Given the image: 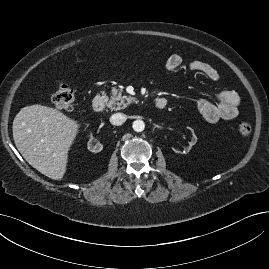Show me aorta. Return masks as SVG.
I'll return each instance as SVG.
<instances>
[{
    "instance_id": "1",
    "label": "aorta",
    "mask_w": 269,
    "mask_h": 269,
    "mask_svg": "<svg viewBox=\"0 0 269 269\" xmlns=\"http://www.w3.org/2000/svg\"><path fill=\"white\" fill-rule=\"evenodd\" d=\"M132 127L134 131L142 132L145 128V124L142 120H135Z\"/></svg>"
}]
</instances>
